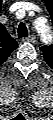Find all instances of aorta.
<instances>
[{
  "label": "aorta",
  "instance_id": "762f6f07",
  "mask_svg": "<svg viewBox=\"0 0 53 120\" xmlns=\"http://www.w3.org/2000/svg\"><path fill=\"white\" fill-rule=\"evenodd\" d=\"M39 30H40L39 32H40L41 40L46 44L50 43L52 38L50 28L41 25Z\"/></svg>",
  "mask_w": 53,
  "mask_h": 120
}]
</instances>
